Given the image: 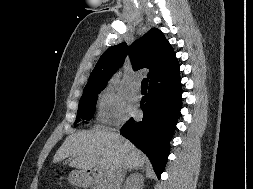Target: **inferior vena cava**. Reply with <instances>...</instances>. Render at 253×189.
I'll list each match as a JSON object with an SVG mask.
<instances>
[{"mask_svg": "<svg viewBox=\"0 0 253 189\" xmlns=\"http://www.w3.org/2000/svg\"><path fill=\"white\" fill-rule=\"evenodd\" d=\"M125 175L124 167H117L110 175L104 184V189H120V184Z\"/></svg>", "mask_w": 253, "mask_h": 189, "instance_id": "obj_1", "label": "inferior vena cava"}]
</instances>
